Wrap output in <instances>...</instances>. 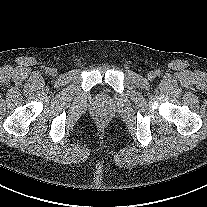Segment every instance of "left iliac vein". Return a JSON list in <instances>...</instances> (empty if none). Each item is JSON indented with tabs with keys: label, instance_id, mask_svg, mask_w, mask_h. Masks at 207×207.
Listing matches in <instances>:
<instances>
[{
	"label": "left iliac vein",
	"instance_id": "left-iliac-vein-1",
	"mask_svg": "<svg viewBox=\"0 0 207 207\" xmlns=\"http://www.w3.org/2000/svg\"><path fill=\"white\" fill-rule=\"evenodd\" d=\"M147 77H148L149 80H153V79L155 78V72L150 71V72L148 73Z\"/></svg>",
	"mask_w": 207,
	"mask_h": 207
}]
</instances>
